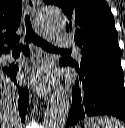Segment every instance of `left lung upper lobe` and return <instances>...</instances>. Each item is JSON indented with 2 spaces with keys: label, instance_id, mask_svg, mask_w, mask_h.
<instances>
[{
  "label": "left lung upper lobe",
  "instance_id": "1",
  "mask_svg": "<svg viewBox=\"0 0 125 128\" xmlns=\"http://www.w3.org/2000/svg\"><path fill=\"white\" fill-rule=\"evenodd\" d=\"M43 1L63 10L67 16L66 31L74 33V40L81 47L79 61L63 58L70 66L86 75L101 69H122L118 34L105 0Z\"/></svg>",
  "mask_w": 125,
  "mask_h": 128
}]
</instances>
